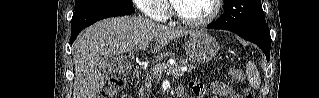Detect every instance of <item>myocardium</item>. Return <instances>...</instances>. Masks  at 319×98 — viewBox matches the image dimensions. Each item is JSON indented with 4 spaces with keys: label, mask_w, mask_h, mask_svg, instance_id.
<instances>
[{
    "label": "myocardium",
    "mask_w": 319,
    "mask_h": 98,
    "mask_svg": "<svg viewBox=\"0 0 319 98\" xmlns=\"http://www.w3.org/2000/svg\"><path fill=\"white\" fill-rule=\"evenodd\" d=\"M221 3H222L221 0H212L213 10L207 17L200 19V20H190V19L183 17L179 13L174 1H171L172 14L183 25L190 27V28H200V27H204V26L209 25L210 23H212L216 19V17L219 15L220 10H221Z\"/></svg>",
    "instance_id": "f54148a6"
}]
</instances>
